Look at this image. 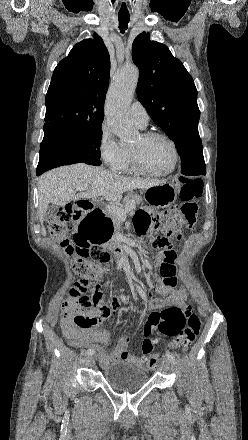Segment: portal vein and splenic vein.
Instances as JSON below:
<instances>
[{
	"mask_svg": "<svg viewBox=\"0 0 248 440\" xmlns=\"http://www.w3.org/2000/svg\"><path fill=\"white\" fill-rule=\"evenodd\" d=\"M87 189V186L81 188V190ZM134 208L133 203H130L127 205L126 209H121L118 206L115 205H107V211L110 212L112 215L118 217L120 220L125 221L126 220V214L131 211Z\"/></svg>",
	"mask_w": 248,
	"mask_h": 440,
	"instance_id": "18ae733b",
	"label": "portal vein and splenic vein"
}]
</instances>
